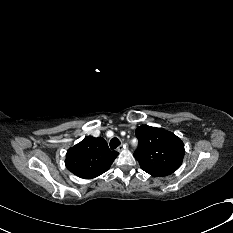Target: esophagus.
<instances>
[{"mask_svg":"<svg viewBox=\"0 0 233 233\" xmlns=\"http://www.w3.org/2000/svg\"><path fill=\"white\" fill-rule=\"evenodd\" d=\"M126 148H127V146H126L125 144H123V145H120V146L117 148V151H118V152H121V151L125 150Z\"/></svg>","mask_w":233,"mask_h":233,"instance_id":"esophagus-1","label":"esophagus"}]
</instances>
